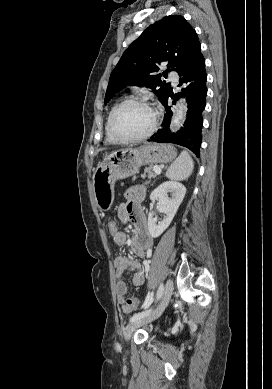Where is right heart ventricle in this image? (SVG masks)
<instances>
[{
	"label": "right heart ventricle",
	"mask_w": 272,
	"mask_h": 389,
	"mask_svg": "<svg viewBox=\"0 0 272 389\" xmlns=\"http://www.w3.org/2000/svg\"><path fill=\"white\" fill-rule=\"evenodd\" d=\"M119 104V102H116L110 109L109 113H108V116H107V119H106V122H105V137H106V142L107 143H116L117 141L112 137V135L110 134V131H109V118H110V115L112 113V111L114 110V108Z\"/></svg>",
	"instance_id": "e07e8e85"
}]
</instances>
